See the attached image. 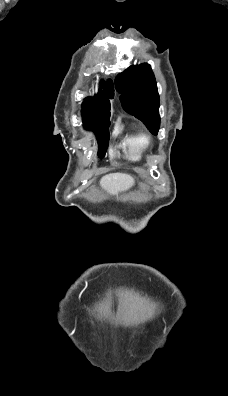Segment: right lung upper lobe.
Here are the masks:
<instances>
[{
	"instance_id": "cb5924a9",
	"label": "right lung upper lobe",
	"mask_w": 228,
	"mask_h": 396,
	"mask_svg": "<svg viewBox=\"0 0 228 396\" xmlns=\"http://www.w3.org/2000/svg\"><path fill=\"white\" fill-rule=\"evenodd\" d=\"M114 87L111 80L103 82V91L100 89L94 97H88L83 102V120L101 117L110 113V101L113 98Z\"/></svg>"
}]
</instances>
